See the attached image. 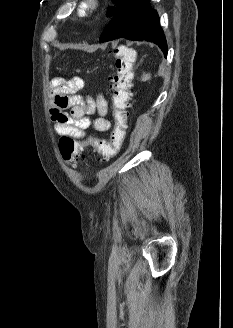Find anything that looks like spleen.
<instances>
[{"label":"spleen","mask_w":233,"mask_h":328,"mask_svg":"<svg viewBox=\"0 0 233 328\" xmlns=\"http://www.w3.org/2000/svg\"><path fill=\"white\" fill-rule=\"evenodd\" d=\"M151 79V74L150 73H143L142 77H141V81L145 82Z\"/></svg>","instance_id":"1"}]
</instances>
